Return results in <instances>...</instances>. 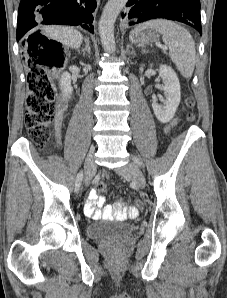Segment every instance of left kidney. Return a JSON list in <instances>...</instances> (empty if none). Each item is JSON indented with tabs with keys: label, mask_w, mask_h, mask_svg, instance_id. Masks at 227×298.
<instances>
[{
	"label": "left kidney",
	"mask_w": 227,
	"mask_h": 298,
	"mask_svg": "<svg viewBox=\"0 0 227 298\" xmlns=\"http://www.w3.org/2000/svg\"><path fill=\"white\" fill-rule=\"evenodd\" d=\"M159 76L163 82V90L166 99L164 105L153 102L152 108L157 119L161 123H167L174 117L180 103V83L176 73L170 66L160 65Z\"/></svg>",
	"instance_id": "5707ae66"
}]
</instances>
